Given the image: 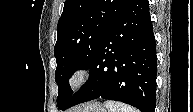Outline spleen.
<instances>
[{
	"instance_id": "1",
	"label": "spleen",
	"mask_w": 193,
	"mask_h": 112,
	"mask_svg": "<svg viewBox=\"0 0 193 112\" xmlns=\"http://www.w3.org/2000/svg\"><path fill=\"white\" fill-rule=\"evenodd\" d=\"M105 107L109 112H138L137 109L123 103L107 100Z\"/></svg>"
}]
</instances>
